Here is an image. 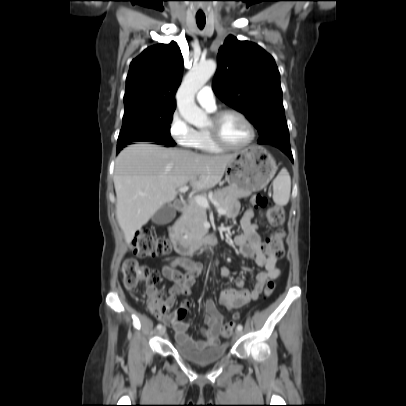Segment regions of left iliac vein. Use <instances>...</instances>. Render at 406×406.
I'll return each instance as SVG.
<instances>
[{"instance_id": "4c4485c4", "label": "left iliac vein", "mask_w": 406, "mask_h": 406, "mask_svg": "<svg viewBox=\"0 0 406 406\" xmlns=\"http://www.w3.org/2000/svg\"><path fill=\"white\" fill-rule=\"evenodd\" d=\"M242 335V330H237L236 332H235V336L236 337H240Z\"/></svg>"}]
</instances>
